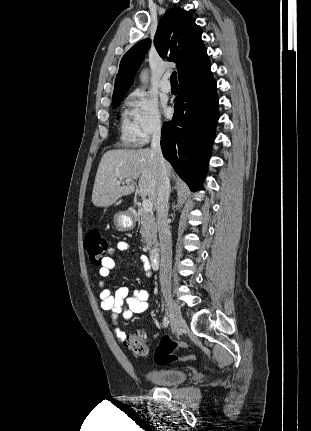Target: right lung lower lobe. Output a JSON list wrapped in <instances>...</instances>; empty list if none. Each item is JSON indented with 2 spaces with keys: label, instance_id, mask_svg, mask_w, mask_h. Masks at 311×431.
Here are the masks:
<instances>
[{
  "label": "right lung lower lobe",
  "instance_id": "right-lung-lower-lobe-1",
  "mask_svg": "<svg viewBox=\"0 0 311 431\" xmlns=\"http://www.w3.org/2000/svg\"><path fill=\"white\" fill-rule=\"evenodd\" d=\"M174 115L161 131V149L192 191L202 189L219 118L216 81L210 64L180 82Z\"/></svg>",
  "mask_w": 311,
  "mask_h": 431
}]
</instances>
